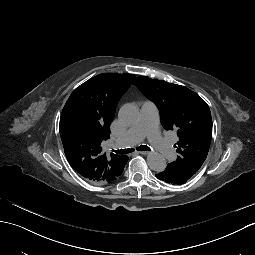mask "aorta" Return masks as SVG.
Segmentation results:
<instances>
[{
	"label": "aorta",
	"mask_w": 255,
	"mask_h": 255,
	"mask_svg": "<svg viewBox=\"0 0 255 255\" xmlns=\"http://www.w3.org/2000/svg\"><path fill=\"white\" fill-rule=\"evenodd\" d=\"M119 119L127 124L132 125L137 122L139 118V110L133 104H125L119 111ZM147 163L151 170L162 172L166 168V160L164 156L158 152H150L147 156Z\"/></svg>",
	"instance_id": "aorta-1"
}]
</instances>
